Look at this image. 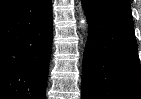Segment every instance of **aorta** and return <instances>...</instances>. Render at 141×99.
<instances>
[{"label": "aorta", "instance_id": "762f6f07", "mask_svg": "<svg viewBox=\"0 0 141 99\" xmlns=\"http://www.w3.org/2000/svg\"><path fill=\"white\" fill-rule=\"evenodd\" d=\"M79 14V28L82 30L84 38H87L88 36V23L86 19V14L82 7L78 10Z\"/></svg>", "mask_w": 141, "mask_h": 99}]
</instances>
